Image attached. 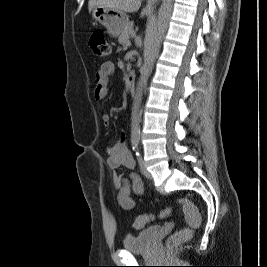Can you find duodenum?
Wrapping results in <instances>:
<instances>
[{
	"instance_id": "410a0bca",
	"label": "duodenum",
	"mask_w": 267,
	"mask_h": 267,
	"mask_svg": "<svg viewBox=\"0 0 267 267\" xmlns=\"http://www.w3.org/2000/svg\"><path fill=\"white\" fill-rule=\"evenodd\" d=\"M127 85L131 94L135 92V73L130 71L127 76Z\"/></svg>"
}]
</instances>
